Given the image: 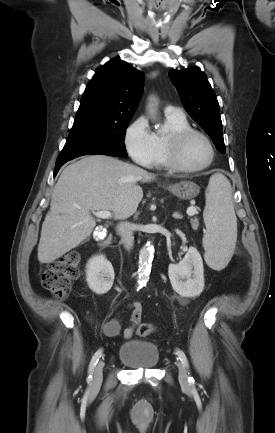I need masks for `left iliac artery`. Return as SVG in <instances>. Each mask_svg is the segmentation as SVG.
Wrapping results in <instances>:
<instances>
[{"instance_id":"left-iliac-artery-1","label":"left iliac artery","mask_w":275,"mask_h":433,"mask_svg":"<svg viewBox=\"0 0 275 433\" xmlns=\"http://www.w3.org/2000/svg\"><path fill=\"white\" fill-rule=\"evenodd\" d=\"M176 354L178 355L180 361L183 363L184 367L186 369H188L189 368V363H188V359H187L185 353L182 350H180V349H176ZM188 374H189V372H188ZM188 381L189 382H193L194 381L193 377L189 376Z\"/></svg>"}]
</instances>
